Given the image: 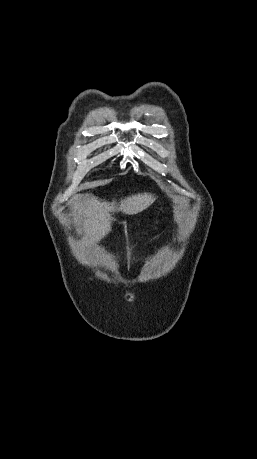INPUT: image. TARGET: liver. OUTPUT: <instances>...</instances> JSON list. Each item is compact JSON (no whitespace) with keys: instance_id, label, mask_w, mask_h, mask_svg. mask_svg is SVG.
Segmentation results:
<instances>
[{"instance_id":"obj_1","label":"liver","mask_w":257,"mask_h":459,"mask_svg":"<svg viewBox=\"0 0 257 459\" xmlns=\"http://www.w3.org/2000/svg\"><path fill=\"white\" fill-rule=\"evenodd\" d=\"M154 201V196L148 193H139L116 201L107 202L98 198H91L85 203L82 222L77 223V232L84 235L89 243L104 238L111 231L112 218L110 213L123 212L128 215L136 214Z\"/></svg>"}]
</instances>
